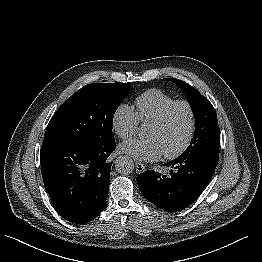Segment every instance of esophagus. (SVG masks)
<instances>
[{"label":"esophagus","mask_w":262,"mask_h":262,"mask_svg":"<svg viewBox=\"0 0 262 262\" xmlns=\"http://www.w3.org/2000/svg\"><path fill=\"white\" fill-rule=\"evenodd\" d=\"M135 167H136V171L138 173H142V172H144L146 170L145 165L142 164L141 162H138V161L135 162Z\"/></svg>","instance_id":"obj_1"}]
</instances>
